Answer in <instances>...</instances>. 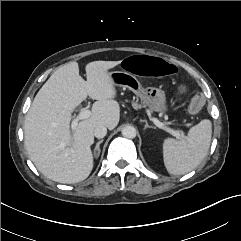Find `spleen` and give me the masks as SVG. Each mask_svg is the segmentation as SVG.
I'll use <instances>...</instances> for the list:
<instances>
[{
    "label": "spleen",
    "mask_w": 241,
    "mask_h": 241,
    "mask_svg": "<svg viewBox=\"0 0 241 241\" xmlns=\"http://www.w3.org/2000/svg\"><path fill=\"white\" fill-rule=\"evenodd\" d=\"M212 123L208 119L193 126L181 140L163 141V160L167 171L184 175L195 169L205 158L211 143Z\"/></svg>",
    "instance_id": "1"
}]
</instances>
